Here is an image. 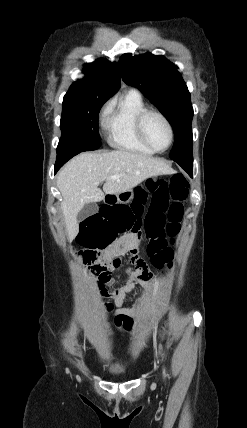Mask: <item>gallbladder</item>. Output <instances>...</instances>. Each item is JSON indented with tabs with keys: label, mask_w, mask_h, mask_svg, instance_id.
Masks as SVG:
<instances>
[{
	"label": "gallbladder",
	"mask_w": 247,
	"mask_h": 428,
	"mask_svg": "<svg viewBox=\"0 0 247 428\" xmlns=\"http://www.w3.org/2000/svg\"><path fill=\"white\" fill-rule=\"evenodd\" d=\"M98 211V206L96 203H87L83 206L80 212L77 215L78 221H83L84 219L96 214Z\"/></svg>",
	"instance_id": "bac80fb5"
}]
</instances>
